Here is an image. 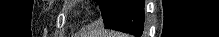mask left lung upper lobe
I'll list each match as a JSON object with an SVG mask.
<instances>
[{
	"mask_svg": "<svg viewBox=\"0 0 219 37\" xmlns=\"http://www.w3.org/2000/svg\"><path fill=\"white\" fill-rule=\"evenodd\" d=\"M101 9L104 25L106 26L122 0H95Z\"/></svg>",
	"mask_w": 219,
	"mask_h": 37,
	"instance_id": "5c2ea615",
	"label": "left lung upper lobe"
}]
</instances>
